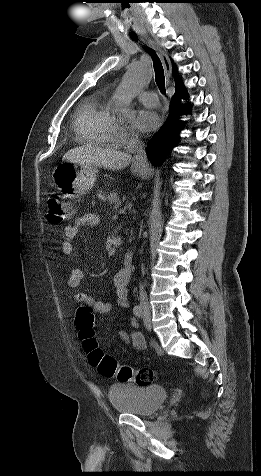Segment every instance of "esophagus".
Segmentation results:
<instances>
[{
    "label": "esophagus",
    "instance_id": "1",
    "mask_svg": "<svg viewBox=\"0 0 261 476\" xmlns=\"http://www.w3.org/2000/svg\"><path fill=\"white\" fill-rule=\"evenodd\" d=\"M148 43L150 44V46L156 51V53L160 57V59L162 61V64H163V67H164L166 80L169 81V78H170V75H171V62H170V59H169L168 55L151 39L148 40Z\"/></svg>",
    "mask_w": 261,
    "mask_h": 476
}]
</instances>
